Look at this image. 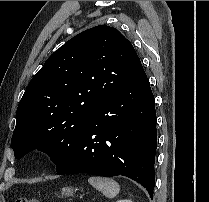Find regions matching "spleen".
Here are the masks:
<instances>
[{
	"mask_svg": "<svg viewBox=\"0 0 209 202\" xmlns=\"http://www.w3.org/2000/svg\"><path fill=\"white\" fill-rule=\"evenodd\" d=\"M88 182L92 187L102 192L108 198H114L120 191L119 184L113 179L103 177H90Z\"/></svg>",
	"mask_w": 209,
	"mask_h": 202,
	"instance_id": "spleen-1",
	"label": "spleen"
}]
</instances>
